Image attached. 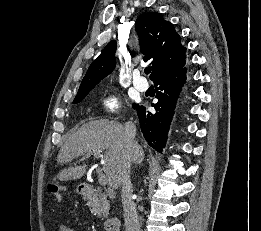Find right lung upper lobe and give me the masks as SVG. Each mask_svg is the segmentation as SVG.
Listing matches in <instances>:
<instances>
[{"label": "right lung upper lobe", "instance_id": "cb5924a9", "mask_svg": "<svg viewBox=\"0 0 261 231\" xmlns=\"http://www.w3.org/2000/svg\"><path fill=\"white\" fill-rule=\"evenodd\" d=\"M139 35L144 62L152 65L151 80L184 67L186 48L172 23L163 19L160 13L141 14L135 25ZM116 41H110L100 56L90 65L77 94L91 91L101 79L115 67Z\"/></svg>", "mask_w": 261, "mask_h": 231}]
</instances>
